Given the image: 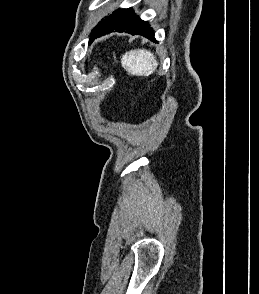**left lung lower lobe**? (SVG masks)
Instances as JSON below:
<instances>
[{
	"mask_svg": "<svg viewBox=\"0 0 259 294\" xmlns=\"http://www.w3.org/2000/svg\"><path fill=\"white\" fill-rule=\"evenodd\" d=\"M113 31L139 34L156 41L150 25L134 15L132 8L118 9L109 15L94 33L92 41Z\"/></svg>",
	"mask_w": 259,
	"mask_h": 294,
	"instance_id": "1",
	"label": "left lung lower lobe"
}]
</instances>
